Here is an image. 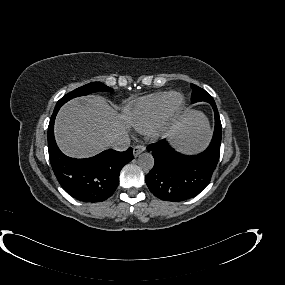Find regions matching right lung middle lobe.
Instances as JSON below:
<instances>
[{
  "label": "right lung middle lobe",
  "instance_id": "right-lung-middle-lobe-1",
  "mask_svg": "<svg viewBox=\"0 0 285 285\" xmlns=\"http://www.w3.org/2000/svg\"><path fill=\"white\" fill-rule=\"evenodd\" d=\"M96 91H112L110 87H107L101 82H92L87 85H84L82 87H79L75 89L74 91L64 95L56 104V106H62L64 103L69 101L72 98L78 97V96H83V95H88L92 92Z\"/></svg>",
  "mask_w": 285,
  "mask_h": 285
}]
</instances>
